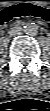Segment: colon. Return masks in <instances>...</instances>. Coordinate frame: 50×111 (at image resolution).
Returning a JSON list of instances; mask_svg holds the SVG:
<instances>
[{
    "mask_svg": "<svg viewBox=\"0 0 50 111\" xmlns=\"http://www.w3.org/2000/svg\"><path fill=\"white\" fill-rule=\"evenodd\" d=\"M27 17L50 21V10L47 7L34 3L22 2L14 6L6 7L1 11L0 24L6 26L16 19Z\"/></svg>",
    "mask_w": 50,
    "mask_h": 111,
    "instance_id": "1",
    "label": "colon"
}]
</instances>
